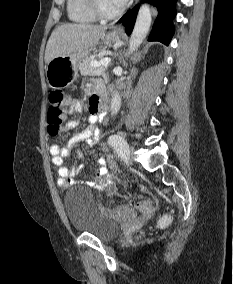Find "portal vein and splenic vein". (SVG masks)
<instances>
[{
	"label": "portal vein and splenic vein",
	"mask_w": 233,
	"mask_h": 284,
	"mask_svg": "<svg viewBox=\"0 0 233 284\" xmlns=\"http://www.w3.org/2000/svg\"><path fill=\"white\" fill-rule=\"evenodd\" d=\"M111 62V58H108V57H105L103 59H101L100 61H91L90 65L92 67H98V66H101V65H107Z\"/></svg>",
	"instance_id": "portal-vein-and-splenic-vein-1"
}]
</instances>
